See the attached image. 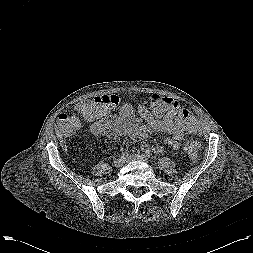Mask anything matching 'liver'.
Wrapping results in <instances>:
<instances>
[{"mask_svg": "<svg viewBox=\"0 0 253 253\" xmlns=\"http://www.w3.org/2000/svg\"><path fill=\"white\" fill-rule=\"evenodd\" d=\"M57 137H58V138H60V135H59V133H57Z\"/></svg>", "mask_w": 253, "mask_h": 253, "instance_id": "6515ba94", "label": "liver"}]
</instances>
